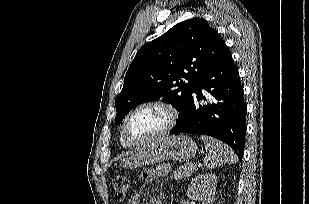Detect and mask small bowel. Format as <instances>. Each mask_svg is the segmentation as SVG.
<instances>
[{
  "label": "small bowel",
  "mask_w": 309,
  "mask_h": 204,
  "mask_svg": "<svg viewBox=\"0 0 309 204\" xmlns=\"http://www.w3.org/2000/svg\"><path fill=\"white\" fill-rule=\"evenodd\" d=\"M167 170H168V166H167V165H162L161 167L156 168V169H152V168L145 169V170L142 171V173H141V180H142L144 183H148V182H150L156 175L165 173ZM138 203H139V196H138V195H134V196L130 199V203H129V204H138Z\"/></svg>",
  "instance_id": "1"
}]
</instances>
